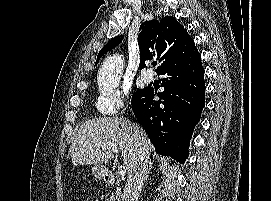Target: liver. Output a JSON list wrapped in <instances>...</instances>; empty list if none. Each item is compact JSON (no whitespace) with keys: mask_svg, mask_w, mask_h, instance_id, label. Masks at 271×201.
Wrapping results in <instances>:
<instances>
[{"mask_svg":"<svg viewBox=\"0 0 271 201\" xmlns=\"http://www.w3.org/2000/svg\"><path fill=\"white\" fill-rule=\"evenodd\" d=\"M132 124L121 117H101L85 121L79 128L74 142L70 146L69 155L74 165H100L113 158L110 146L121 150L127 172H131L133 162L138 153L134 140ZM101 144V147H97ZM148 153L153 145L148 140Z\"/></svg>","mask_w":271,"mask_h":201,"instance_id":"6515ba94","label":"liver"}]
</instances>
